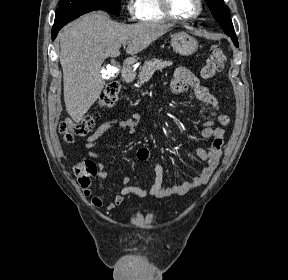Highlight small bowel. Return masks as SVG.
Segmentation results:
<instances>
[{
  "mask_svg": "<svg viewBox=\"0 0 288 280\" xmlns=\"http://www.w3.org/2000/svg\"><path fill=\"white\" fill-rule=\"evenodd\" d=\"M189 88L192 89L199 101L210 107V110L207 113V120H205L201 126V136L204 139H212V142L207 150L202 148L196 150L197 156L205 163V166L200 173L191 180L164 188L162 186L164 173L163 166L160 163H156L154 166V182L147 188H141L132 185L129 176L113 174L109 172L102 163H98V176L101 179L119 178L124 185L113 199L106 203V209L108 211H112L121 205L129 195H135L140 198L148 196L153 198H166L174 195H185L209 181L220 160L225 135L224 128L230 124V119L227 115L217 113V110L219 109L218 100L210 93L207 87L200 83L199 79L190 70L184 67L176 68L169 81L168 90L172 93H182ZM139 119L140 115L135 113L126 119L113 118L101 123L95 132L86 140L85 148L87 150V155L90 158H97L99 156L94 150L97 145V140L108 130L112 128H121L127 133H133ZM215 122L218 123V127H214ZM137 158L142 161H147L150 158L149 149L146 147L139 148L137 151ZM83 194L85 197H90L92 195L91 188L89 186L84 187ZM91 204L95 208H100L103 206L104 202L100 195H93Z\"/></svg>",
  "mask_w": 288,
  "mask_h": 280,
  "instance_id": "1",
  "label": "small bowel"
}]
</instances>
